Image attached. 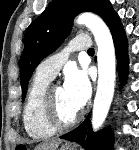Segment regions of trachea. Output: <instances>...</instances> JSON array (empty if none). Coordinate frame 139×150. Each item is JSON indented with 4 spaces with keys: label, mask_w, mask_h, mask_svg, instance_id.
<instances>
[{
    "label": "trachea",
    "mask_w": 139,
    "mask_h": 150,
    "mask_svg": "<svg viewBox=\"0 0 139 150\" xmlns=\"http://www.w3.org/2000/svg\"><path fill=\"white\" fill-rule=\"evenodd\" d=\"M88 53H94V49L93 48L89 49Z\"/></svg>",
    "instance_id": "3493384b"
}]
</instances>
